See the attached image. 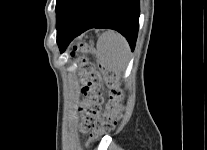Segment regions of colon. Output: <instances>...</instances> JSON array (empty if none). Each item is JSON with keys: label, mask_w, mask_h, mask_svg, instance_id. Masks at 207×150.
Wrapping results in <instances>:
<instances>
[{"label": "colon", "mask_w": 207, "mask_h": 150, "mask_svg": "<svg viewBox=\"0 0 207 150\" xmlns=\"http://www.w3.org/2000/svg\"><path fill=\"white\" fill-rule=\"evenodd\" d=\"M78 49L84 50L86 45L80 44ZM101 70L111 88L109 102L102 113L100 76L93 63L88 60H82L79 66L83 81L82 93L85 97L84 103L79 107L83 120L82 130L89 132L92 138L113 130L120 119L121 103L124 98V94L117 83V73L104 64L101 65Z\"/></svg>", "instance_id": "1"}]
</instances>
